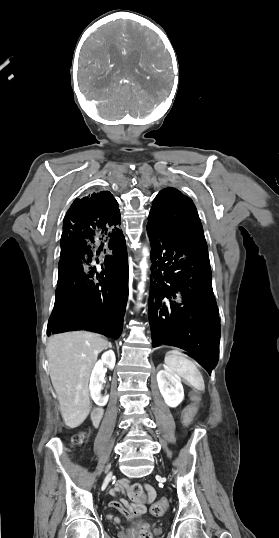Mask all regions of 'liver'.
Masks as SVG:
<instances>
[{
  "mask_svg": "<svg viewBox=\"0 0 279 538\" xmlns=\"http://www.w3.org/2000/svg\"><path fill=\"white\" fill-rule=\"evenodd\" d=\"M109 342L92 332H65L49 338V374L69 428H78L90 412L89 378L102 350Z\"/></svg>",
  "mask_w": 279,
  "mask_h": 538,
  "instance_id": "6515ba94",
  "label": "liver"
}]
</instances>
